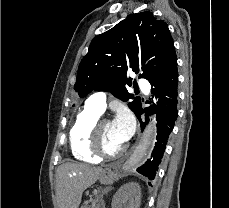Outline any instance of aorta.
Masks as SVG:
<instances>
[{
    "label": "aorta",
    "instance_id": "obj_1",
    "mask_svg": "<svg viewBox=\"0 0 229 208\" xmlns=\"http://www.w3.org/2000/svg\"><path fill=\"white\" fill-rule=\"evenodd\" d=\"M155 135H156V126H155V122L152 120L145 128V132L143 134L140 143L135 148L132 155L124 163L123 165L124 171L133 170L142 162V160L148 154V151L153 143V139Z\"/></svg>",
    "mask_w": 229,
    "mask_h": 208
}]
</instances>
